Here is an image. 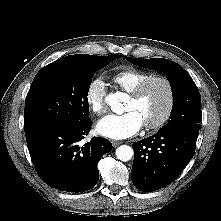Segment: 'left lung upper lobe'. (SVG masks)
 <instances>
[{"instance_id": "1", "label": "left lung upper lobe", "mask_w": 221, "mask_h": 221, "mask_svg": "<svg viewBox=\"0 0 221 221\" xmlns=\"http://www.w3.org/2000/svg\"><path fill=\"white\" fill-rule=\"evenodd\" d=\"M127 60L135 65L155 69L164 73L173 91V108L170 121L160 130L173 128L200 129L201 97L199 90L188 72L174 61L162 58Z\"/></svg>"}]
</instances>
